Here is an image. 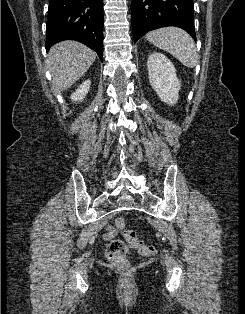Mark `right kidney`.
Listing matches in <instances>:
<instances>
[{
    "label": "right kidney",
    "instance_id": "1",
    "mask_svg": "<svg viewBox=\"0 0 245 314\" xmlns=\"http://www.w3.org/2000/svg\"><path fill=\"white\" fill-rule=\"evenodd\" d=\"M91 81L86 80L84 81L74 93L71 95V100L75 102L83 101L85 96L87 95L90 89Z\"/></svg>",
    "mask_w": 245,
    "mask_h": 314
}]
</instances>
